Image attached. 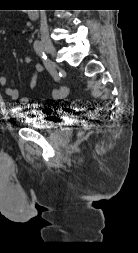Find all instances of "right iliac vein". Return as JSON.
I'll return each mask as SVG.
<instances>
[{"instance_id":"1","label":"right iliac vein","mask_w":138,"mask_h":253,"mask_svg":"<svg viewBox=\"0 0 138 253\" xmlns=\"http://www.w3.org/2000/svg\"><path fill=\"white\" fill-rule=\"evenodd\" d=\"M42 44L47 53H49L52 56L55 55L56 49L49 37H44L42 39Z\"/></svg>"}]
</instances>
